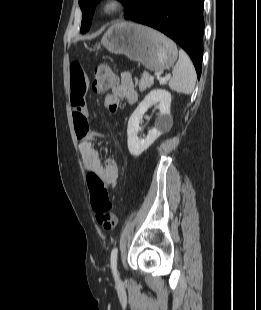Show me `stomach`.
Listing matches in <instances>:
<instances>
[{
  "label": "stomach",
  "mask_w": 261,
  "mask_h": 310,
  "mask_svg": "<svg viewBox=\"0 0 261 310\" xmlns=\"http://www.w3.org/2000/svg\"><path fill=\"white\" fill-rule=\"evenodd\" d=\"M113 54H123L151 71H164L177 60L176 45L158 31L132 22L113 24L101 39Z\"/></svg>",
  "instance_id": "obj_1"
}]
</instances>
